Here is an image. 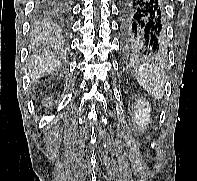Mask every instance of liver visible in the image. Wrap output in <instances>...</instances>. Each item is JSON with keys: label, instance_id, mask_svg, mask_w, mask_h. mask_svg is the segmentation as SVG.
<instances>
[{"label": "liver", "instance_id": "6515ba94", "mask_svg": "<svg viewBox=\"0 0 197 181\" xmlns=\"http://www.w3.org/2000/svg\"><path fill=\"white\" fill-rule=\"evenodd\" d=\"M59 66L60 63L52 55L42 54L40 56H34L33 68L30 72V77L32 81H37L43 75L57 70Z\"/></svg>", "mask_w": 197, "mask_h": 181}]
</instances>
